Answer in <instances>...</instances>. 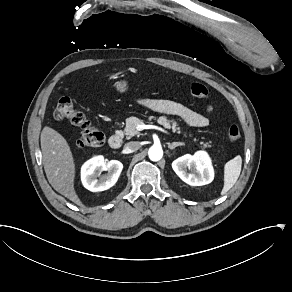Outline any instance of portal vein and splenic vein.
Wrapping results in <instances>:
<instances>
[{
	"mask_svg": "<svg viewBox=\"0 0 292 292\" xmlns=\"http://www.w3.org/2000/svg\"><path fill=\"white\" fill-rule=\"evenodd\" d=\"M136 129H137L138 131H142V130H145V129H152V130L160 131V132H162V133H164V134H166V135H168V136L171 135L166 129H164V128L158 126V125H151V124H149V125H145V124H137Z\"/></svg>",
	"mask_w": 292,
	"mask_h": 292,
	"instance_id": "portal-vein-and-splenic-vein-1",
	"label": "portal vein and splenic vein"
}]
</instances>
